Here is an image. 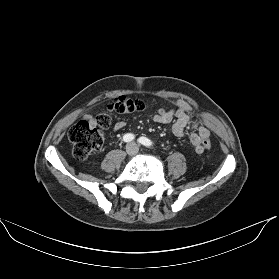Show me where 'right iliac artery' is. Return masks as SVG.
Instances as JSON below:
<instances>
[{
	"mask_svg": "<svg viewBox=\"0 0 279 279\" xmlns=\"http://www.w3.org/2000/svg\"><path fill=\"white\" fill-rule=\"evenodd\" d=\"M134 138H135V136H134L133 134H131V133H127V134H125V135L123 136V140H124L125 142H130V141H132Z\"/></svg>",
	"mask_w": 279,
	"mask_h": 279,
	"instance_id": "right-iliac-artery-1",
	"label": "right iliac artery"
}]
</instances>
